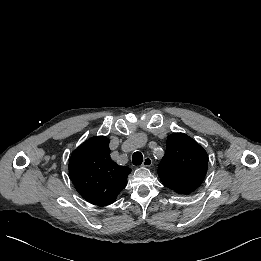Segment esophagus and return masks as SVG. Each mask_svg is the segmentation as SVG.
I'll return each mask as SVG.
<instances>
[{
    "mask_svg": "<svg viewBox=\"0 0 261 261\" xmlns=\"http://www.w3.org/2000/svg\"><path fill=\"white\" fill-rule=\"evenodd\" d=\"M144 167H150L152 165V159L150 157H146L142 164Z\"/></svg>",
    "mask_w": 261,
    "mask_h": 261,
    "instance_id": "1",
    "label": "esophagus"
}]
</instances>
